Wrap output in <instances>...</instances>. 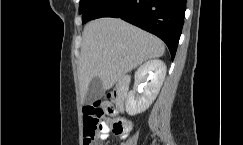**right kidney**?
I'll return each instance as SVG.
<instances>
[{"label": "right kidney", "mask_w": 243, "mask_h": 145, "mask_svg": "<svg viewBox=\"0 0 243 145\" xmlns=\"http://www.w3.org/2000/svg\"><path fill=\"white\" fill-rule=\"evenodd\" d=\"M165 76L166 65L159 59H152L141 65L135 73V88L127 95L126 112L134 116L148 109L156 99ZM137 87L142 91L140 96H136Z\"/></svg>", "instance_id": "1"}]
</instances>
